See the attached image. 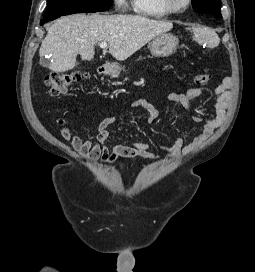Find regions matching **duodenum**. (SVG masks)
I'll return each mask as SVG.
<instances>
[{"label":"duodenum","mask_w":255,"mask_h":272,"mask_svg":"<svg viewBox=\"0 0 255 272\" xmlns=\"http://www.w3.org/2000/svg\"><path fill=\"white\" fill-rule=\"evenodd\" d=\"M98 72L102 76H107L110 74V68L106 65H102L99 67Z\"/></svg>","instance_id":"1"}]
</instances>
